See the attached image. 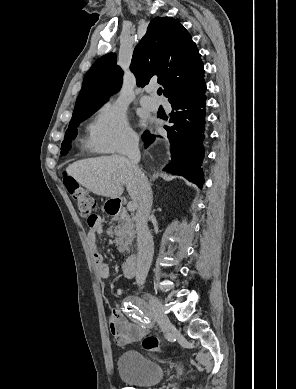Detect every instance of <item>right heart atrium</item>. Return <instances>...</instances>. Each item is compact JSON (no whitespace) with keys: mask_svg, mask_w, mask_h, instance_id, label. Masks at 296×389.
Segmentation results:
<instances>
[{"mask_svg":"<svg viewBox=\"0 0 296 389\" xmlns=\"http://www.w3.org/2000/svg\"><path fill=\"white\" fill-rule=\"evenodd\" d=\"M91 144L96 151L122 153L138 142L124 110L113 103L104 104L90 126Z\"/></svg>","mask_w":296,"mask_h":389,"instance_id":"obj_1","label":"right heart atrium"}]
</instances>
